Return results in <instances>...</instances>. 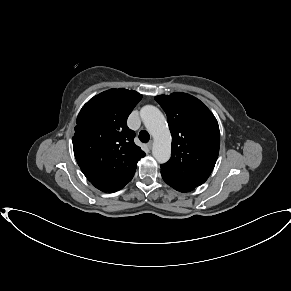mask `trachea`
<instances>
[{"label": "trachea", "instance_id": "3493384b", "mask_svg": "<svg viewBox=\"0 0 291 291\" xmlns=\"http://www.w3.org/2000/svg\"><path fill=\"white\" fill-rule=\"evenodd\" d=\"M139 139L141 140V142L146 143V142L149 141L150 135H149V133L146 130H142L139 133Z\"/></svg>", "mask_w": 291, "mask_h": 291}]
</instances>
